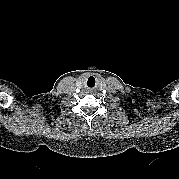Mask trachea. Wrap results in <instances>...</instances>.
I'll list each match as a JSON object with an SVG mask.
<instances>
[{
  "label": "trachea",
  "mask_w": 179,
  "mask_h": 179,
  "mask_svg": "<svg viewBox=\"0 0 179 179\" xmlns=\"http://www.w3.org/2000/svg\"><path fill=\"white\" fill-rule=\"evenodd\" d=\"M86 85L89 88L95 87V85H96V79H95V77H93V76L88 77Z\"/></svg>",
  "instance_id": "trachea-1"
}]
</instances>
